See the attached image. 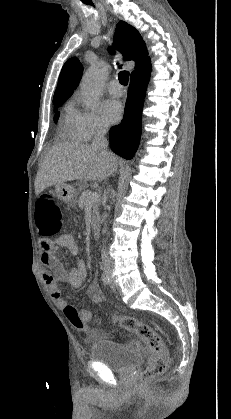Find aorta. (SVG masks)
Returning a JSON list of instances; mask_svg holds the SVG:
<instances>
[{"mask_svg":"<svg viewBox=\"0 0 231 419\" xmlns=\"http://www.w3.org/2000/svg\"><path fill=\"white\" fill-rule=\"evenodd\" d=\"M107 74V65L104 61H100L92 66L84 75L81 83V93L89 107H94L98 100L103 82Z\"/></svg>","mask_w":231,"mask_h":419,"instance_id":"aorta-1","label":"aorta"}]
</instances>
